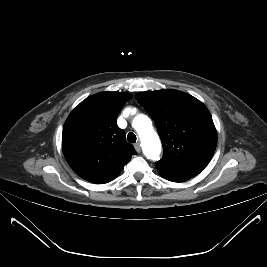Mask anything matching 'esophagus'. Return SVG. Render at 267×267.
<instances>
[{
    "mask_svg": "<svg viewBox=\"0 0 267 267\" xmlns=\"http://www.w3.org/2000/svg\"><path fill=\"white\" fill-rule=\"evenodd\" d=\"M134 147H135V150H136L138 153L141 152V146H140V143H136V144L134 145Z\"/></svg>",
    "mask_w": 267,
    "mask_h": 267,
    "instance_id": "obj_1",
    "label": "esophagus"
}]
</instances>
